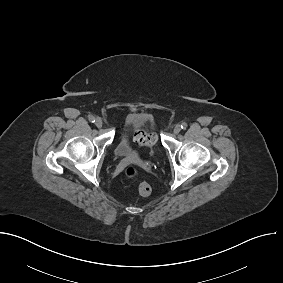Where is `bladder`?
<instances>
[{"label":"bladder","instance_id":"obj_1","mask_svg":"<svg viewBox=\"0 0 283 283\" xmlns=\"http://www.w3.org/2000/svg\"><path fill=\"white\" fill-rule=\"evenodd\" d=\"M146 128L151 136V146L155 150L157 145V135L153 131L152 126L143 116H136L129 121L121 137L119 138L114 152L115 155L121 159H135L139 157V152L134 148L131 142V132L133 129Z\"/></svg>","mask_w":283,"mask_h":283}]
</instances>
